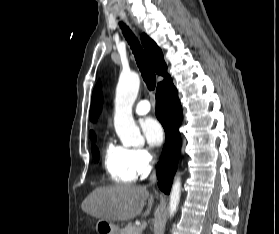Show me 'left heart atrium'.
Here are the masks:
<instances>
[{
    "label": "left heart atrium",
    "instance_id": "1",
    "mask_svg": "<svg viewBox=\"0 0 279 234\" xmlns=\"http://www.w3.org/2000/svg\"><path fill=\"white\" fill-rule=\"evenodd\" d=\"M142 131L152 146H159L164 139V130L161 124L154 118L148 117L142 122Z\"/></svg>",
    "mask_w": 279,
    "mask_h": 234
}]
</instances>
